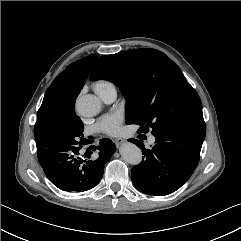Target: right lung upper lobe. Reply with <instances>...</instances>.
Returning a JSON list of instances; mask_svg holds the SVG:
<instances>
[{"label": "right lung upper lobe", "mask_w": 241, "mask_h": 241, "mask_svg": "<svg viewBox=\"0 0 241 241\" xmlns=\"http://www.w3.org/2000/svg\"><path fill=\"white\" fill-rule=\"evenodd\" d=\"M96 58V55L91 54L70 64L47 89L41 106L64 110L74 109L75 100ZM35 126L38 133L41 123L36 122Z\"/></svg>", "instance_id": "1"}]
</instances>
